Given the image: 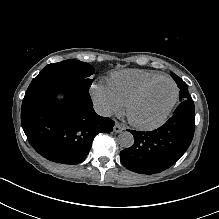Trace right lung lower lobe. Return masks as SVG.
<instances>
[{
	"mask_svg": "<svg viewBox=\"0 0 219 219\" xmlns=\"http://www.w3.org/2000/svg\"><path fill=\"white\" fill-rule=\"evenodd\" d=\"M62 93L65 98L58 100ZM21 124L33 148L44 158L62 164L85 159L94 137L113 130L114 121L93 109L89 92L79 82L34 78L21 107Z\"/></svg>",
	"mask_w": 219,
	"mask_h": 219,
	"instance_id": "1",
	"label": "right lung lower lobe"
}]
</instances>
